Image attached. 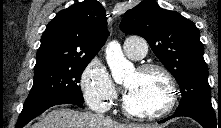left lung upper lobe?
<instances>
[{
	"label": "left lung upper lobe",
	"mask_w": 221,
	"mask_h": 128,
	"mask_svg": "<svg viewBox=\"0 0 221 128\" xmlns=\"http://www.w3.org/2000/svg\"><path fill=\"white\" fill-rule=\"evenodd\" d=\"M120 28L145 38L177 80L182 98L175 113L193 107L213 109L204 47L191 20L160 8L155 0H144L124 14Z\"/></svg>",
	"instance_id": "obj_1"
}]
</instances>
